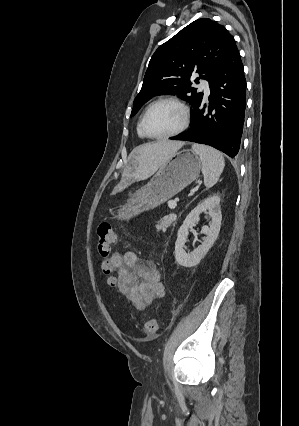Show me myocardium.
I'll list each match as a JSON object with an SVG mask.
<instances>
[{
  "instance_id": "obj_1",
  "label": "myocardium",
  "mask_w": 299,
  "mask_h": 426,
  "mask_svg": "<svg viewBox=\"0 0 299 426\" xmlns=\"http://www.w3.org/2000/svg\"><path fill=\"white\" fill-rule=\"evenodd\" d=\"M161 103H173V104L177 105L183 113V121H182V124L180 125V127L177 130H175V131H173L169 134L153 135V134L149 133L147 128H146V119H147L148 114L152 110V108H154L156 105L161 104ZM190 118H191L190 108L184 100H182L178 97H173V96L162 97V98H159V99L155 100L154 102H152L146 108V110H145V112H144V114L141 118V121H140V127H141L143 134L146 137L151 138V139H155V140H164V139H169V138L178 136L181 133H183L189 126Z\"/></svg>"
}]
</instances>
